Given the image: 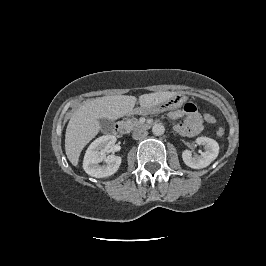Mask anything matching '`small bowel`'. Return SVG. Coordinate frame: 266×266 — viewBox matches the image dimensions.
<instances>
[{
  "instance_id": "c3829d8e",
  "label": "small bowel",
  "mask_w": 266,
  "mask_h": 266,
  "mask_svg": "<svg viewBox=\"0 0 266 266\" xmlns=\"http://www.w3.org/2000/svg\"><path fill=\"white\" fill-rule=\"evenodd\" d=\"M169 118L172 120L185 118L184 122L175 125V130L183 136H196L201 132L203 127L202 118L197 106L191 102L186 103L181 109L171 111Z\"/></svg>"
}]
</instances>
